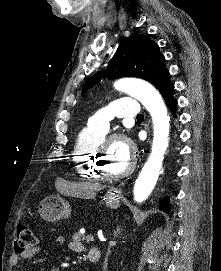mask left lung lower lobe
<instances>
[{
    "instance_id": "left-lung-lower-lobe-1",
    "label": "left lung lower lobe",
    "mask_w": 221,
    "mask_h": 271,
    "mask_svg": "<svg viewBox=\"0 0 221 271\" xmlns=\"http://www.w3.org/2000/svg\"><path fill=\"white\" fill-rule=\"evenodd\" d=\"M173 90H174V85L173 83H169L166 87H164L160 93L162 94V96L164 97L167 105L169 106V108L171 109V111L173 113H175V108L177 106V101L173 98ZM161 206V210L165 211V212H169V202L168 199H165L164 201H162L160 203Z\"/></svg>"
}]
</instances>
